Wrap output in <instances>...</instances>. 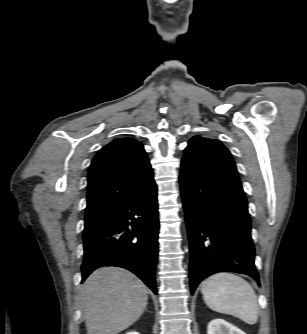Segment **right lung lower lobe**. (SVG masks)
<instances>
[{
  "label": "right lung lower lobe",
  "instance_id": "right-lung-lower-lobe-1",
  "mask_svg": "<svg viewBox=\"0 0 307 334\" xmlns=\"http://www.w3.org/2000/svg\"><path fill=\"white\" fill-rule=\"evenodd\" d=\"M158 231L157 187L152 182L84 230L82 282L98 267L117 266L136 274L157 294Z\"/></svg>",
  "mask_w": 307,
  "mask_h": 334
}]
</instances>
